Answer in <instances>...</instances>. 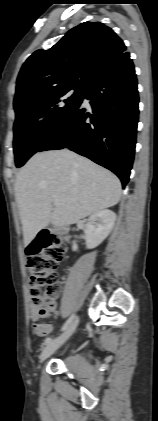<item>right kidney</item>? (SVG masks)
I'll return each instance as SVG.
<instances>
[{
    "label": "right kidney",
    "mask_w": 158,
    "mask_h": 421,
    "mask_svg": "<svg viewBox=\"0 0 158 421\" xmlns=\"http://www.w3.org/2000/svg\"><path fill=\"white\" fill-rule=\"evenodd\" d=\"M116 220V214L108 209L101 210L92 214L85 224L86 248L92 249L101 244L112 231ZM77 244L74 241L72 250H77Z\"/></svg>",
    "instance_id": "1"
}]
</instances>
